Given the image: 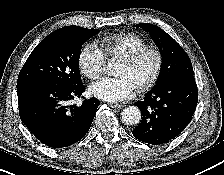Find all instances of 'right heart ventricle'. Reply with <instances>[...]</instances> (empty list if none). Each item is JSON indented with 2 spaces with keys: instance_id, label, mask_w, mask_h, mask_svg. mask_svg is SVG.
I'll list each match as a JSON object with an SVG mask.
<instances>
[{
  "instance_id": "e07e8e85",
  "label": "right heart ventricle",
  "mask_w": 224,
  "mask_h": 175,
  "mask_svg": "<svg viewBox=\"0 0 224 175\" xmlns=\"http://www.w3.org/2000/svg\"><path fill=\"white\" fill-rule=\"evenodd\" d=\"M101 47L106 56L124 59L146 47V42L134 33H118L104 37L101 40Z\"/></svg>"
}]
</instances>
